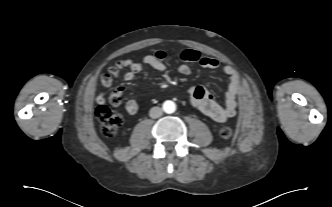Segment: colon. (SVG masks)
I'll return each instance as SVG.
<instances>
[{
    "mask_svg": "<svg viewBox=\"0 0 332 207\" xmlns=\"http://www.w3.org/2000/svg\"><path fill=\"white\" fill-rule=\"evenodd\" d=\"M107 98L101 94L98 98V106L96 109L97 118L101 124V130L105 137L113 138L119 132L123 123V117L120 113L112 110L106 104ZM111 105L117 106L121 103V97L114 91L108 98ZM232 130L229 127H224L220 130V136L224 139L230 138Z\"/></svg>",
    "mask_w": 332,
    "mask_h": 207,
    "instance_id": "colon-1",
    "label": "colon"
}]
</instances>
